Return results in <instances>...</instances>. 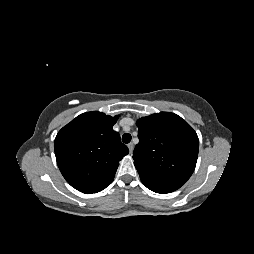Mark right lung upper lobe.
<instances>
[{
	"label": "right lung upper lobe",
	"mask_w": 254,
	"mask_h": 254,
	"mask_svg": "<svg viewBox=\"0 0 254 254\" xmlns=\"http://www.w3.org/2000/svg\"><path fill=\"white\" fill-rule=\"evenodd\" d=\"M118 116L87 112L57 134L54 143L58 167L66 181L83 193H93L113 181L119 161L129 153L113 130Z\"/></svg>",
	"instance_id": "right-lung-upper-lobe-1"
}]
</instances>
